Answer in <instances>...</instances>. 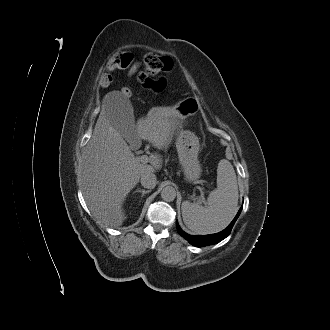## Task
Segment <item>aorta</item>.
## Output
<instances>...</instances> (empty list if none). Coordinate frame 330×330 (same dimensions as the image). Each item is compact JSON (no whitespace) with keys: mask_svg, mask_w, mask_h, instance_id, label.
I'll use <instances>...</instances> for the list:
<instances>
[{"mask_svg":"<svg viewBox=\"0 0 330 330\" xmlns=\"http://www.w3.org/2000/svg\"><path fill=\"white\" fill-rule=\"evenodd\" d=\"M161 197L164 201L170 202L176 198V190L173 186H166L161 191Z\"/></svg>","mask_w":330,"mask_h":330,"instance_id":"aorta-1","label":"aorta"}]
</instances>
